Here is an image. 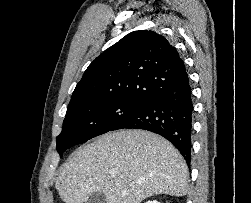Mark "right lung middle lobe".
I'll return each mask as SVG.
<instances>
[{
    "label": "right lung middle lobe",
    "mask_w": 251,
    "mask_h": 203,
    "mask_svg": "<svg viewBox=\"0 0 251 203\" xmlns=\"http://www.w3.org/2000/svg\"><path fill=\"white\" fill-rule=\"evenodd\" d=\"M143 104L123 100H101L69 105L62 132L57 137V151L60 157L66 149L111 131Z\"/></svg>",
    "instance_id": "1"
}]
</instances>
